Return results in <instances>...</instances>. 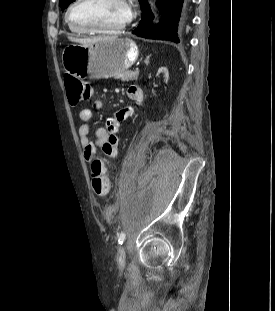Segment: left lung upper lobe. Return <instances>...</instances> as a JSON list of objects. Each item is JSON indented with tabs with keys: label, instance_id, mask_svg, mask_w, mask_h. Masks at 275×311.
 I'll return each mask as SVG.
<instances>
[{
	"label": "left lung upper lobe",
	"instance_id": "5c2ea615",
	"mask_svg": "<svg viewBox=\"0 0 275 311\" xmlns=\"http://www.w3.org/2000/svg\"><path fill=\"white\" fill-rule=\"evenodd\" d=\"M75 0H60V7L62 10L66 9L70 3H72ZM144 0H139L140 5L142 4Z\"/></svg>",
	"mask_w": 275,
	"mask_h": 311
}]
</instances>
